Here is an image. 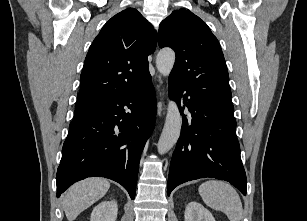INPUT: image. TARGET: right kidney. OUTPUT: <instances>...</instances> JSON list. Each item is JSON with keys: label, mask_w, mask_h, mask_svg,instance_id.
Here are the masks:
<instances>
[{"label": "right kidney", "mask_w": 307, "mask_h": 221, "mask_svg": "<svg viewBox=\"0 0 307 221\" xmlns=\"http://www.w3.org/2000/svg\"><path fill=\"white\" fill-rule=\"evenodd\" d=\"M118 212L115 200L103 201L92 211L90 221H116Z\"/></svg>", "instance_id": "right-kidney-1"}]
</instances>
